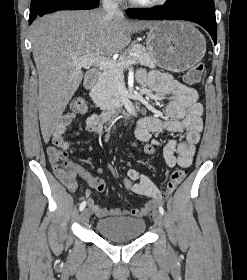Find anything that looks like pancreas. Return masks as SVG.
<instances>
[{
	"mask_svg": "<svg viewBox=\"0 0 247 280\" xmlns=\"http://www.w3.org/2000/svg\"><path fill=\"white\" fill-rule=\"evenodd\" d=\"M129 53H137L136 56H131ZM129 60H135L137 64L145 65L150 68L156 67L152 55L141 44H135L127 52L123 53L118 63H126ZM125 67L119 68L117 71L105 69L92 93L94 102L101 109H115L121 105V97L118 90L119 84L123 81V70Z\"/></svg>",
	"mask_w": 247,
	"mask_h": 280,
	"instance_id": "cf45deb5",
	"label": "pancreas"
}]
</instances>
